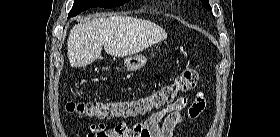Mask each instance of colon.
Wrapping results in <instances>:
<instances>
[{
    "mask_svg": "<svg viewBox=\"0 0 280 137\" xmlns=\"http://www.w3.org/2000/svg\"><path fill=\"white\" fill-rule=\"evenodd\" d=\"M199 78V72L196 68H188L183 70L172 83L162 86L150 95L128 100L69 102L66 105V110L72 114L88 118L135 117L144 115L150 110L170 102L177 93L195 89ZM122 136L138 137L137 134L133 133Z\"/></svg>",
    "mask_w": 280,
    "mask_h": 137,
    "instance_id": "1",
    "label": "colon"
}]
</instances>
